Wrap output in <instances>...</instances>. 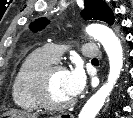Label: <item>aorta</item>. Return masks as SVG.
<instances>
[{"mask_svg": "<svg viewBox=\"0 0 133 118\" xmlns=\"http://www.w3.org/2000/svg\"><path fill=\"white\" fill-rule=\"evenodd\" d=\"M86 32L103 45L110 66L107 82L89 98L78 116V118H95L120 76L124 58L120 40L110 28L92 24L86 28Z\"/></svg>", "mask_w": 133, "mask_h": 118, "instance_id": "obj_1", "label": "aorta"}]
</instances>
